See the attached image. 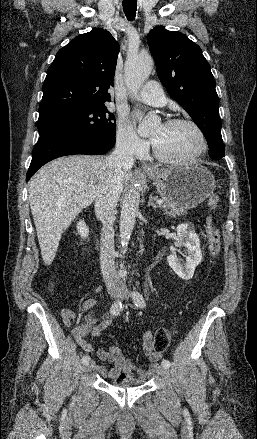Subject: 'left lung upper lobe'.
Wrapping results in <instances>:
<instances>
[{
    "instance_id": "1",
    "label": "left lung upper lobe",
    "mask_w": 257,
    "mask_h": 439,
    "mask_svg": "<svg viewBox=\"0 0 257 439\" xmlns=\"http://www.w3.org/2000/svg\"><path fill=\"white\" fill-rule=\"evenodd\" d=\"M147 43L160 81L201 129L210 157L225 156L215 80L201 48L184 34L161 26L150 31Z\"/></svg>"
}]
</instances>
